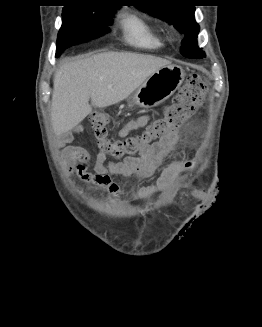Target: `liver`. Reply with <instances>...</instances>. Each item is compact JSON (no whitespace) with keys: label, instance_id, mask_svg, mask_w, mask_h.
Returning a JSON list of instances; mask_svg holds the SVG:
<instances>
[{"label":"liver","instance_id":"6515ba94","mask_svg":"<svg viewBox=\"0 0 262 327\" xmlns=\"http://www.w3.org/2000/svg\"><path fill=\"white\" fill-rule=\"evenodd\" d=\"M169 64L170 61L151 55L117 52L65 63L53 80L54 133L61 135L72 130L92 112V106L104 108L124 100L151 74Z\"/></svg>","mask_w":262,"mask_h":327}]
</instances>
